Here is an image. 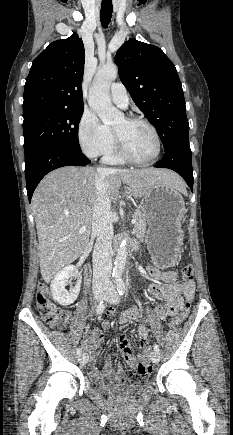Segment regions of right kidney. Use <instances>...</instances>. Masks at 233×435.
I'll return each mask as SVG.
<instances>
[{"mask_svg": "<svg viewBox=\"0 0 233 435\" xmlns=\"http://www.w3.org/2000/svg\"><path fill=\"white\" fill-rule=\"evenodd\" d=\"M71 275L78 276V269L73 265H69L60 270L51 281V292L54 300L62 305L68 306L75 302L77 299L80 286H81V278L79 277L77 284L67 291L65 287L67 286L68 279Z\"/></svg>", "mask_w": 233, "mask_h": 435, "instance_id": "obj_1", "label": "right kidney"}]
</instances>
